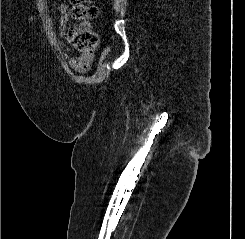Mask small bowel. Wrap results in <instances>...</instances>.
<instances>
[{
	"instance_id": "small-bowel-1",
	"label": "small bowel",
	"mask_w": 245,
	"mask_h": 239,
	"mask_svg": "<svg viewBox=\"0 0 245 239\" xmlns=\"http://www.w3.org/2000/svg\"><path fill=\"white\" fill-rule=\"evenodd\" d=\"M58 11L60 13L59 24L62 32L64 33L70 19L67 6L65 4H60L58 6ZM63 55L68 61L71 68L81 73L87 72L90 69L91 64L95 60L94 54L86 56H71L69 52L64 51Z\"/></svg>"
}]
</instances>
